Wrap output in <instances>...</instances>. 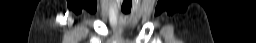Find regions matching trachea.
<instances>
[{"mask_svg":"<svg viewBox=\"0 0 256 43\" xmlns=\"http://www.w3.org/2000/svg\"><path fill=\"white\" fill-rule=\"evenodd\" d=\"M131 9H122V12L125 13V14H128L130 13Z\"/></svg>","mask_w":256,"mask_h":43,"instance_id":"3493384b","label":"trachea"}]
</instances>
